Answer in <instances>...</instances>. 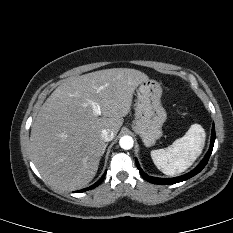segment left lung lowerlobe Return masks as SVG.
I'll use <instances>...</instances> for the list:
<instances>
[{
	"instance_id": "1",
	"label": "left lung lower lobe",
	"mask_w": 233,
	"mask_h": 233,
	"mask_svg": "<svg viewBox=\"0 0 233 233\" xmlns=\"http://www.w3.org/2000/svg\"><path fill=\"white\" fill-rule=\"evenodd\" d=\"M214 141H215V128H214V124H213L212 136H211V148H210L209 152L206 154L205 158L201 161V163L193 171H191L183 176H180V177L167 178V179L151 177V176L146 175L142 171V169L140 168L137 161H136V164H137V167H138L142 177L153 184L165 185V184H174V183L182 182V181H185V180L193 177L194 175L198 174L205 167V165L207 164L209 157L211 155V152H212V149L214 146Z\"/></svg>"
}]
</instances>
